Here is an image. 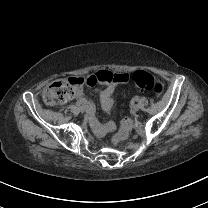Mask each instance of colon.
<instances>
[{"label": "colon", "mask_w": 208, "mask_h": 208, "mask_svg": "<svg viewBox=\"0 0 208 208\" xmlns=\"http://www.w3.org/2000/svg\"><path fill=\"white\" fill-rule=\"evenodd\" d=\"M135 85L143 91H148L151 95L161 96L164 93L162 81L144 71H136L133 75ZM126 82V79L118 77L111 71H99L87 79L81 80L76 77L69 79H59L56 82L47 84L42 90V99L49 106H58L62 102L70 101L75 93H79L84 87H93L99 84L120 85ZM121 134L115 135L116 139H122L127 133L135 128V123L131 119H122L120 121Z\"/></svg>", "instance_id": "1"}]
</instances>
